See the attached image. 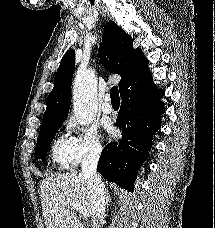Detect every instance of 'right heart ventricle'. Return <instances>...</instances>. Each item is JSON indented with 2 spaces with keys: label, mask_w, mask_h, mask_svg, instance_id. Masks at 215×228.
I'll return each mask as SVG.
<instances>
[{
  "label": "right heart ventricle",
  "mask_w": 215,
  "mask_h": 228,
  "mask_svg": "<svg viewBox=\"0 0 215 228\" xmlns=\"http://www.w3.org/2000/svg\"><path fill=\"white\" fill-rule=\"evenodd\" d=\"M52 160L61 169L72 168L74 161V140L68 135L60 136L52 147Z\"/></svg>",
  "instance_id": "e07e8e85"
}]
</instances>
